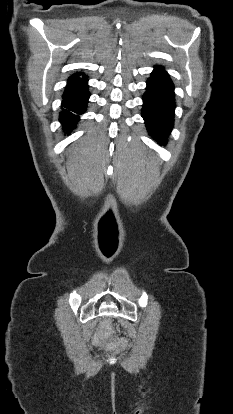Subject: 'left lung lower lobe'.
<instances>
[{"instance_id":"1","label":"left lung lower lobe","mask_w":233,"mask_h":414,"mask_svg":"<svg viewBox=\"0 0 233 414\" xmlns=\"http://www.w3.org/2000/svg\"><path fill=\"white\" fill-rule=\"evenodd\" d=\"M143 95L142 117L149 134L166 144L174 123V84L162 66H155Z\"/></svg>"}]
</instances>
